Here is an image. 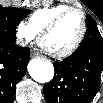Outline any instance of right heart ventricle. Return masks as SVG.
<instances>
[{
	"label": "right heart ventricle",
	"instance_id": "1",
	"mask_svg": "<svg viewBox=\"0 0 103 103\" xmlns=\"http://www.w3.org/2000/svg\"><path fill=\"white\" fill-rule=\"evenodd\" d=\"M68 8L70 6L67 4H58L38 9L30 15L28 23L37 33H40L55 16Z\"/></svg>",
	"mask_w": 103,
	"mask_h": 103
}]
</instances>
